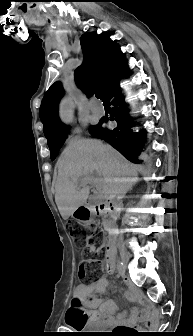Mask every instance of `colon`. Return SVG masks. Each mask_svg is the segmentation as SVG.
<instances>
[{
    "instance_id": "obj_1",
    "label": "colon",
    "mask_w": 193,
    "mask_h": 336,
    "mask_svg": "<svg viewBox=\"0 0 193 336\" xmlns=\"http://www.w3.org/2000/svg\"><path fill=\"white\" fill-rule=\"evenodd\" d=\"M68 229L73 234L74 226L72 224L68 225ZM75 242L79 246H83V251L85 258L81 262L79 267V277L84 279L87 277L88 273L92 270V266L95 264L94 256H98L101 251V246L98 244L94 235H90L87 238H83L80 236H74ZM72 307L75 312H84L86 310L85 304L78 298H74L72 300ZM119 332H125L127 329H119ZM122 336V335H121Z\"/></svg>"
}]
</instances>
